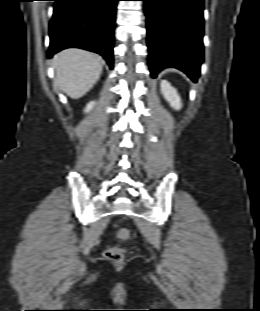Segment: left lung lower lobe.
<instances>
[{
    "instance_id": "left-lung-lower-lobe-1",
    "label": "left lung lower lobe",
    "mask_w": 260,
    "mask_h": 311,
    "mask_svg": "<svg viewBox=\"0 0 260 311\" xmlns=\"http://www.w3.org/2000/svg\"><path fill=\"white\" fill-rule=\"evenodd\" d=\"M143 1L151 76L174 67L196 82L203 55L204 0Z\"/></svg>"
}]
</instances>
